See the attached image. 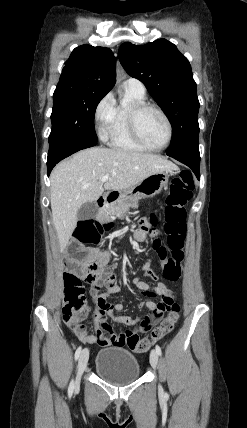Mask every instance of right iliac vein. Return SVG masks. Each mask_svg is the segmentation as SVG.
I'll list each match as a JSON object with an SVG mask.
<instances>
[{
	"label": "right iliac vein",
	"instance_id": "obj_1",
	"mask_svg": "<svg viewBox=\"0 0 247 428\" xmlns=\"http://www.w3.org/2000/svg\"><path fill=\"white\" fill-rule=\"evenodd\" d=\"M88 359H89V350L88 349H84L79 357L78 360V368H77V376H76V380H75V388H79L80 386V381H81V377L82 374L87 366L88 363Z\"/></svg>",
	"mask_w": 247,
	"mask_h": 428
}]
</instances>
